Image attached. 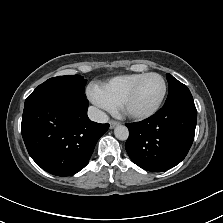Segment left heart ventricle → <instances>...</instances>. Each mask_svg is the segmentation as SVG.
<instances>
[{"label": "left heart ventricle", "instance_id": "1", "mask_svg": "<svg viewBox=\"0 0 223 223\" xmlns=\"http://www.w3.org/2000/svg\"><path fill=\"white\" fill-rule=\"evenodd\" d=\"M162 92V82L157 76L146 77L125 110L143 113L154 107Z\"/></svg>", "mask_w": 223, "mask_h": 223}]
</instances>
